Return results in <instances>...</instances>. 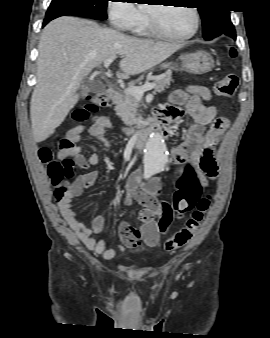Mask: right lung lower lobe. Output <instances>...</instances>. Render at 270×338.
<instances>
[{"label": "right lung lower lobe", "mask_w": 270, "mask_h": 338, "mask_svg": "<svg viewBox=\"0 0 270 338\" xmlns=\"http://www.w3.org/2000/svg\"><path fill=\"white\" fill-rule=\"evenodd\" d=\"M56 17H49V18H45L44 22H43V27L51 20L55 19Z\"/></svg>", "instance_id": "98d812e1"}]
</instances>
